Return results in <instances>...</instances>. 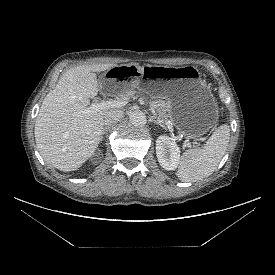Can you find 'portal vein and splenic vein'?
Listing matches in <instances>:
<instances>
[{"label":"portal vein and splenic vein","instance_id":"18ae733b","mask_svg":"<svg viewBox=\"0 0 275 275\" xmlns=\"http://www.w3.org/2000/svg\"><path fill=\"white\" fill-rule=\"evenodd\" d=\"M129 100L130 99L125 98L123 100H110V101H102L99 103H92L90 105V107H88L87 109H85L81 112H78L77 115L78 116H88V115L98 112L100 110H105V109H110V108H120V107L126 105L129 102ZM151 110H152L153 114L156 115L155 110L153 108H151ZM159 122L163 123L161 120H159ZM161 125L165 129H167L166 126H164L163 124H161ZM168 130L171 131V129L169 127H168ZM183 146L187 147V148H191V144L188 141H184Z\"/></svg>","mask_w":275,"mask_h":275}]
</instances>
